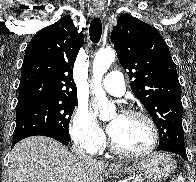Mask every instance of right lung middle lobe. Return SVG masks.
<instances>
[{"label": "right lung middle lobe", "mask_w": 196, "mask_h": 182, "mask_svg": "<svg viewBox=\"0 0 196 182\" xmlns=\"http://www.w3.org/2000/svg\"><path fill=\"white\" fill-rule=\"evenodd\" d=\"M77 97L39 99L17 105L13 139L34 131H51L71 140L68 125Z\"/></svg>", "instance_id": "obj_1"}]
</instances>
